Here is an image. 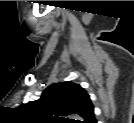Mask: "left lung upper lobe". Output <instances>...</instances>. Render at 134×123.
Instances as JSON below:
<instances>
[{
    "mask_svg": "<svg viewBox=\"0 0 134 123\" xmlns=\"http://www.w3.org/2000/svg\"><path fill=\"white\" fill-rule=\"evenodd\" d=\"M25 110L35 116L74 123V119L62 116L79 114L84 123H93L94 107L85 89L73 82L55 83L46 88L40 99L23 105Z\"/></svg>",
    "mask_w": 134,
    "mask_h": 123,
    "instance_id": "obj_1",
    "label": "left lung upper lobe"
}]
</instances>
